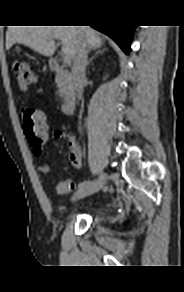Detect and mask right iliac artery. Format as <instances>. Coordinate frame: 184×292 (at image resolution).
<instances>
[{
	"mask_svg": "<svg viewBox=\"0 0 184 292\" xmlns=\"http://www.w3.org/2000/svg\"><path fill=\"white\" fill-rule=\"evenodd\" d=\"M94 182H95V179H89V181L81 183V184L79 185V188L82 189V188H85V187H89V186H91Z\"/></svg>",
	"mask_w": 184,
	"mask_h": 292,
	"instance_id": "right-iliac-artery-1",
	"label": "right iliac artery"
}]
</instances>
